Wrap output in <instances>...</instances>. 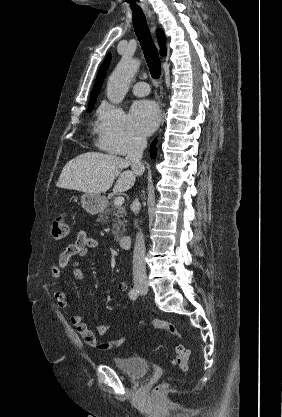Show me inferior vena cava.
Here are the masks:
<instances>
[{"label": "inferior vena cava", "mask_w": 282, "mask_h": 417, "mask_svg": "<svg viewBox=\"0 0 282 417\" xmlns=\"http://www.w3.org/2000/svg\"><path fill=\"white\" fill-rule=\"evenodd\" d=\"M147 146L146 136L135 134L131 140V148L126 156L130 162L134 174H143L144 164L141 162L144 148ZM134 213L140 211V202L138 198L134 200ZM133 281H147L146 263H145V243L142 233H137L135 247L133 251Z\"/></svg>", "instance_id": "obj_1"}]
</instances>
